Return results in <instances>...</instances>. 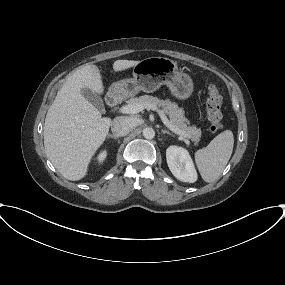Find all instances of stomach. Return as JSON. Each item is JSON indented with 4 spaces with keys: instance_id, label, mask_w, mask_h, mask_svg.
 <instances>
[{
    "instance_id": "stomach-1",
    "label": "stomach",
    "mask_w": 285,
    "mask_h": 285,
    "mask_svg": "<svg viewBox=\"0 0 285 285\" xmlns=\"http://www.w3.org/2000/svg\"><path fill=\"white\" fill-rule=\"evenodd\" d=\"M166 85L178 99H186L193 92L189 75L179 71L177 63L165 57H149L133 67V78L120 80L110 87L113 95H135L140 91L151 93Z\"/></svg>"
}]
</instances>
